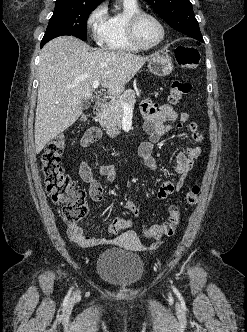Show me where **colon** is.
<instances>
[{
  "mask_svg": "<svg viewBox=\"0 0 247 332\" xmlns=\"http://www.w3.org/2000/svg\"><path fill=\"white\" fill-rule=\"evenodd\" d=\"M177 63L187 69H195L200 62V53L193 46H178L175 50ZM192 91V84L183 81H174L170 86L169 100L178 102ZM66 146L63 136H57L46 145L41 155V171L44 184L51 200L61 206V214L68 224H75L88 213L85 191L78 187L75 180L65 173L61 165V157ZM200 188L193 185L186 194V201L193 205L198 202ZM181 218L178 206L169 207L168 218L160 223L149 226L145 236L150 239H161L173 236ZM130 227V221L124 218H115L109 225V232L117 234Z\"/></svg>",
  "mask_w": 247,
  "mask_h": 332,
  "instance_id": "5ec220e1",
  "label": "colon"
}]
</instances>
